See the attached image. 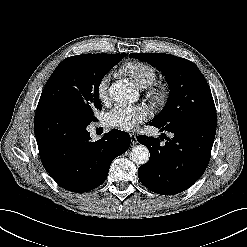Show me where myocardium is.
<instances>
[{
	"instance_id": "f54148a6",
	"label": "myocardium",
	"mask_w": 247,
	"mask_h": 247,
	"mask_svg": "<svg viewBox=\"0 0 247 247\" xmlns=\"http://www.w3.org/2000/svg\"><path fill=\"white\" fill-rule=\"evenodd\" d=\"M154 96L156 100H162L167 96V89L160 88L154 92Z\"/></svg>"
}]
</instances>
